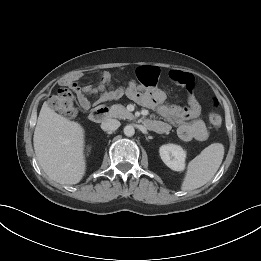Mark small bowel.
I'll return each mask as SVG.
<instances>
[{"mask_svg":"<svg viewBox=\"0 0 261 261\" xmlns=\"http://www.w3.org/2000/svg\"><path fill=\"white\" fill-rule=\"evenodd\" d=\"M160 71L155 66H142L137 69V77L140 83L130 82L125 87L114 88L111 86V75L105 72L97 87L80 86L79 76L65 79L63 84L71 88L77 95L79 105L83 111L91 107L88 95H97L98 102L119 100L128 97L139 104L156 110L166 121H154L156 127L153 129L159 133L169 130L170 124L177 127V134L183 141H203L208 138V128L200 117L201 105L194 95L195 81L192 74L188 72L172 70L169 72L170 79L184 86L188 91V106L181 107L165 102V95L158 89H147L152 87L158 80Z\"/></svg>","mask_w":261,"mask_h":261,"instance_id":"small-bowel-1","label":"small bowel"}]
</instances>
